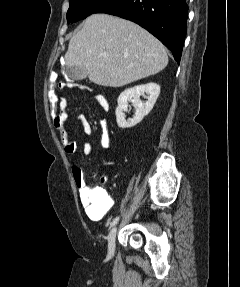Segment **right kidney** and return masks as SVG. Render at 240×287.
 I'll return each mask as SVG.
<instances>
[{"label":"right kidney","mask_w":240,"mask_h":287,"mask_svg":"<svg viewBox=\"0 0 240 287\" xmlns=\"http://www.w3.org/2000/svg\"><path fill=\"white\" fill-rule=\"evenodd\" d=\"M148 94V97L145 96ZM160 94V86L156 83H147L124 90L118 97L116 108V121L120 128H131L142 121L149 114ZM140 96L147 98L146 102L140 100ZM132 102L136 112L133 118L126 120L124 112L128 110V103Z\"/></svg>","instance_id":"obj_1"}]
</instances>
